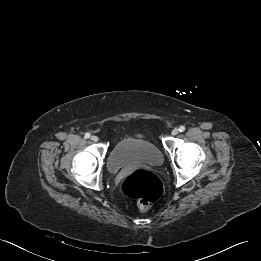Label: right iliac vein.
<instances>
[{
    "label": "right iliac vein",
    "mask_w": 261,
    "mask_h": 261,
    "mask_svg": "<svg viewBox=\"0 0 261 261\" xmlns=\"http://www.w3.org/2000/svg\"><path fill=\"white\" fill-rule=\"evenodd\" d=\"M91 140L94 142L98 141V137L96 135L91 136Z\"/></svg>",
    "instance_id": "obj_1"
}]
</instances>
